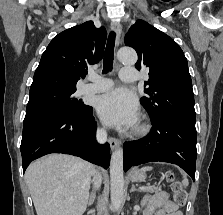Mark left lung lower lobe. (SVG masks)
I'll return each instance as SVG.
<instances>
[{
  "instance_id": "obj_1",
  "label": "left lung lower lobe",
  "mask_w": 223,
  "mask_h": 215,
  "mask_svg": "<svg viewBox=\"0 0 223 215\" xmlns=\"http://www.w3.org/2000/svg\"><path fill=\"white\" fill-rule=\"evenodd\" d=\"M150 118L153 127L146 137L124 143V171L131 166L161 161L180 166L195 181V119L173 115Z\"/></svg>"
}]
</instances>
